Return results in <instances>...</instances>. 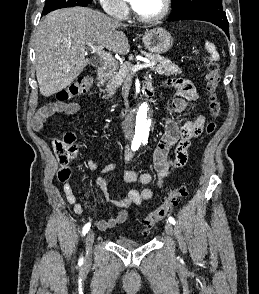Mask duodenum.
Masks as SVG:
<instances>
[{
    "label": "duodenum",
    "instance_id": "410a0bca",
    "mask_svg": "<svg viewBox=\"0 0 259 294\" xmlns=\"http://www.w3.org/2000/svg\"><path fill=\"white\" fill-rule=\"evenodd\" d=\"M114 69V65L110 62H104L99 67V74L100 76H106ZM150 89V84L145 83L143 86V92H147Z\"/></svg>",
    "mask_w": 259,
    "mask_h": 294
}]
</instances>
